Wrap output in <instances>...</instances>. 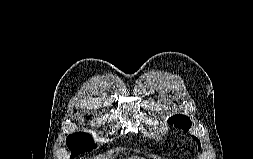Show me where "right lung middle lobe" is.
<instances>
[{"label": "right lung middle lobe", "mask_w": 253, "mask_h": 159, "mask_svg": "<svg viewBox=\"0 0 253 159\" xmlns=\"http://www.w3.org/2000/svg\"><path fill=\"white\" fill-rule=\"evenodd\" d=\"M67 146L72 151L70 159H74L75 156L83 152L91 151L95 148L91 137L85 133H74L67 137Z\"/></svg>", "instance_id": "dd1d6c3e"}]
</instances>
